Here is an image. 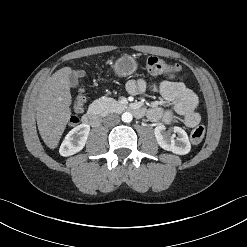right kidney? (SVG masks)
Instances as JSON below:
<instances>
[{
  "instance_id": "ca27d5eb",
  "label": "right kidney",
  "mask_w": 247,
  "mask_h": 247,
  "mask_svg": "<svg viewBox=\"0 0 247 247\" xmlns=\"http://www.w3.org/2000/svg\"><path fill=\"white\" fill-rule=\"evenodd\" d=\"M90 132V126L87 124H80L73 128L62 142L59 153L61 156H71L81 151L87 141Z\"/></svg>"
}]
</instances>
